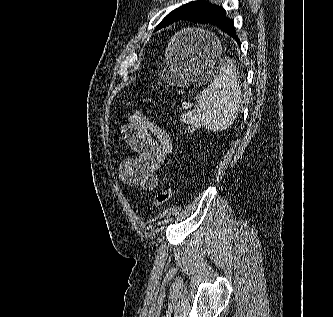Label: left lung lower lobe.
<instances>
[{
    "mask_svg": "<svg viewBox=\"0 0 333 317\" xmlns=\"http://www.w3.org/2000/svg\"><path fill=\"white\" fill-rule=\"evenodd\" d=\"M181 20H189L202 24H210L220 28L240 45L232 19L226 17L224 8L214 4H206L186 14Z\"/></svg>",
    "mask_w": 333,
    "mask_h": 317,
    "instance_id": "obj_1",
    "label": "left lung lower lobe"
}]
</instances>
